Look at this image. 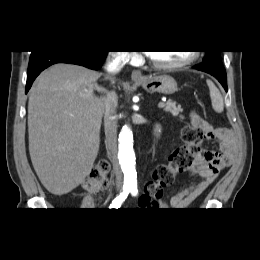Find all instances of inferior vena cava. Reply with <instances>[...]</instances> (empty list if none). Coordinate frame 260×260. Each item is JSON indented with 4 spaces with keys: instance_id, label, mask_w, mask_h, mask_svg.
Segmentation results:
<instances>
[{
    "instance_id": "inferior-vena-cava-1",
    "label": "inferior vena cava",
    "mask_w": 260,
    "mask_h": 260,
    "mask_svg": "<svg viewBox=\"0 0 260 260\" xmlns=\"http://www.w3.org/2000/svg\"><path fill=\"white\" fill-rule=\"evenodd\" d=\"M127 61L128 56L123 51L109 52L105 62V70L112 81H114L115 75L121 71ZM102 106L108 116H114L116 114L118 97L115 91L107 92L106 97L102 99ZM117 127L116 119H109L105 122L106 147L113 165L116 185L120 187L122 185V173L116 157Z\"/></svg>"
}]
</instances>
